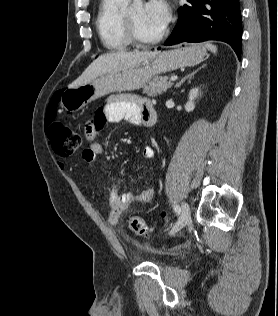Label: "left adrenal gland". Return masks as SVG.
<instances>
[{"mask_svg":"<svg viewBox=\"0 0 278 316\" xmlns=\"http://www.w3.org/2000/svg\"><path fill=\"white\" fill-rule=\"evenodd\" d=\"M204 67H205V65H203L202 67H200V68H198L197 70L193 71V72L190 73L189 75L185 76L179 83H177V84L175 85V88L180 87V86L185 82L186 79L192 78V77L195 75V73H197L200 69H202V68H204Z\"/></svg>","mask_w":278,"mask_h":316,"instance_id":"1","label":"left adrenal gland"}]
</instances>
